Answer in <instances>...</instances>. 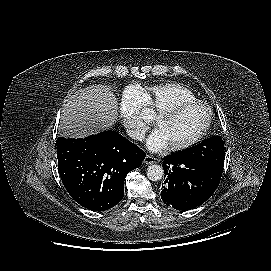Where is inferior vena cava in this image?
I'll return each mask as SVG.
<instances>
[{"mask_svg":"<svg viewBox=\"0 0 271 271\" xmlns=\"http://www.w3.org/2000/svg\"><path fill=\"white\" fill-rule=\"evenodd\" d=\"M127 133L132 139H136L140 141H142L145 137V133L141 131L128 130Z\"/></svg>","mask_w":271,"mask_h":271,"instance_id":"1","label":"inferior vena cava"}]
</instances>
